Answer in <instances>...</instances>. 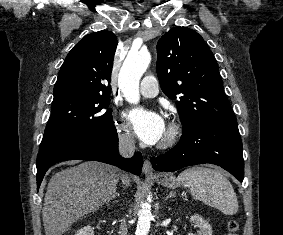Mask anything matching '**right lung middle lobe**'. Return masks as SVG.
<instances>
[{
  "mask_svg": "<svg viewBox=\"0 0 283 235\" xmlns=\"http://www.w3.org/2000/svg\"><path fill=\"white\" fill-rule=\"evenodd\" d=\"M109 96L71 97L52 104L40 152L78 136H93L115 127Z\"/></svg>",
  "mask_w": 283,
  "mask_h": 235,
  "instance_id": "right-lung-middle-lobe-1",
  "label": "right lung middle lobe"
}]
</instances>
